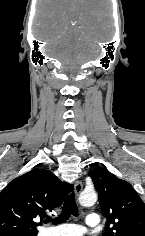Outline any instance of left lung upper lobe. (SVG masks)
<instances>
[{"mask_svg":"<svg viewBox=\"0 0 145 236\" xmlns=\"http://www.w3.org/2000/svg\"><path fill=\"white\" fill-rule=\"evenodd\" d=\"M106 217L104 236H145V204L126 181L103 168L89 171Z\"/></svg>","mask_w":145,"mask_h":236,"instance_id":"5c2ea615","label":"left lung upper lobe"}]
</instances>
